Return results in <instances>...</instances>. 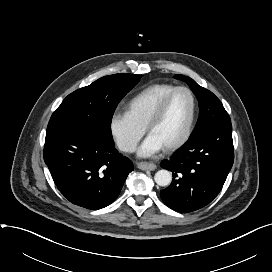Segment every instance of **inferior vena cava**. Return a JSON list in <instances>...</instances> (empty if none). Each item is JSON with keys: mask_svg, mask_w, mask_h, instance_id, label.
Returning a JSON list of instances; mask_svg holds the SVG:
<instances>
[{"mask_svg": "<svg viewBox=\"0 0 272 272\" xmlns=\"http://www.w3.org/2000/svg\"><path fill=\"white\" fill-rule=\"evenodd\" d=\"M136 149V145L135 144H125L121 147V150L125 151V152H134Z\"/></svg>", "mask_w": 272, "mask_h": 272, "instance_id": "1", "label": "inferior vena cava"}]
</instances>
